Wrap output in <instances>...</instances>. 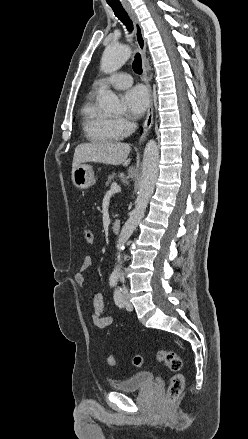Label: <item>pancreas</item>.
I'll return each mask as SVG.
<instances>
[{
	"label": "pancreas",
	"instance_id": "1",
	"mask_svg": "<svg viewBox=\"0 0 248 439\" xmlns=\"http://www.w3.org/2000/svg\"><path fill=\"white\" fill-rule=\"evenodd\" d=\"M115 179H116L115 173H111L110 175H108L107 180L105 181V186H109L111 181H114Z\"/></svg>",
	"mask_w": 248,
	"mask_h": 439
}]
</instances>
